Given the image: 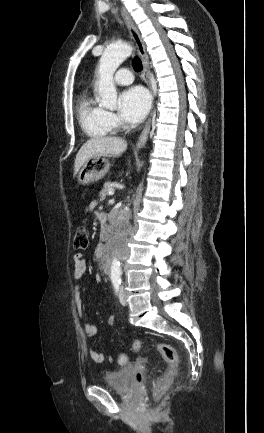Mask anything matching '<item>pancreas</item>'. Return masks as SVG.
<instances>
[{
  "label": "pancreas",
  "instance_id": "1",
  "mask_svg": "<svg viewBox=\"0 0 264 433\" xmlns=\"http://www.w3.org/2000/svg\"><path fill=\"white\" fill-rule=\"evenodd\" d=\"M113 183L108 181L104 184V188L101 190L99 196H100V200L103 201L106 199V197L108 196V191L109 190H113Z\"/></svg>",
  "mask_w": 264,
  "mask_h": 433
}]
</instances>
